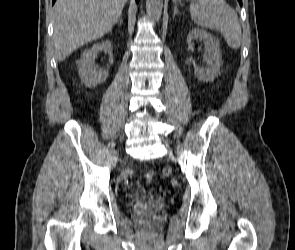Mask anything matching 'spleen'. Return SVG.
Listing matches in <instances>:
<instances>
[{
	"label": "spleen",
	"mask_w": 295,
	"mask_h": 250,
	"mask_svg": "<svg viewBox=\"0 0 295 250\" xmlns=\"http://www.w3.org/2000/svg\"><path fill=\"white\" fill-rule=\"evenodd\" d=\"M190 14L197 25L220 31L230 48L240 47L242 32L237 14L224 0H198L191 3Z\"/></svg>",
	"instance_id": "spleen-1"
}]
</instances>
